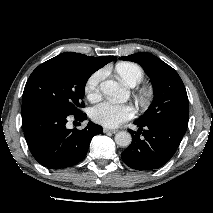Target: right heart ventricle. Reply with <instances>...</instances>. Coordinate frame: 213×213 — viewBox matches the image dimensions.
Segmentation results:
<instances>
[{
  "label": "right heart ventricle",
  "mask_w": 213,
  "mask_h": 213,
  "mask_svg": "<svg viewBox=\"0 0 213 213\" xmlns=\"http://www.w3.org/2000/svg\"><path fill=\"white\" fill-rule=\"evenodd\" d=\"M115 70L119 78L131 87L139 84L144 78L143 69L132 62H120L116 65Z\"/></svg>",
  "instance_id": "1"
}]
</instances>
